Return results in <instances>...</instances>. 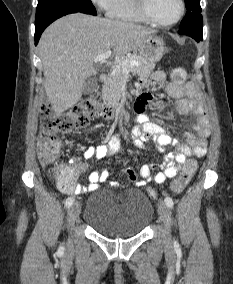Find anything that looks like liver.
Returning a JSON list of instances; mask_svg holds the SVG:
<instances>
[{"mask_svg": "<svg viewBox=\"0 0 233 284\" xmlns=\"http://www.w3.org/2000/svg\"><path fill=\"white\" fill-rule=\"evenodd\" d=\"M156 30L125 21L70 14L52 23L42 34L39 53L44 88L59 115L81 99L84 83L96 73L94 58L113 49L123 56L139 49Z\"/></svg>", "mask_w": 233, "mask_h": 284, "instance_id": "liver-1", "label": "liver"}]
</instances>
